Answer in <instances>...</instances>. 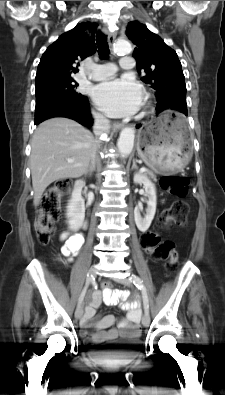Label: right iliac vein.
<instances>
[{"label": "right iliac vein", "mask_w": 225, "mask_h": 395, "mask_svg": "<svg viewBox=\"0 0 225 395\" xmlns=\"http://www.w3.org/2000/svg\"><path fill=\"white\" fill-rule=\"evenodd\" d=\"M96 270L94 268H91L88 273H87V278L86 281L87 283H91L94 279ZM83 315V306L81 304L78 305L76 311H75V318L78 320L82 317Z\"/></svg>", "instance_id": "63e3f726"}]
</instances>
